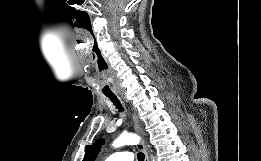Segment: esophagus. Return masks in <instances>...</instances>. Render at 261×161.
<instances>
[{
	"mask_svg": "<svg viewBox=\"0 0 261 161\" xmlns=\"http://www.w3.org/2000/svg\"><path fill=\"white\" fill-rule=\"evenodd\" d=\"M123 99L126 100L125 97H123ZM132 111H133L132 112V121H133L134 129L138 134L142 135V130H141L139 118H138L137 114L135 113V111L134 110H132ZM137 147H138L139 150H141L144 153L145 161H149V156H148V152H147L145 145L140 143V144H138Z\"/></svg>",
	"mask_w": 261,
	"mask_h": 161,
	"instance_id": "esophagus-1",
	"label": "esophagus"
}]
</instances>
